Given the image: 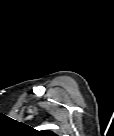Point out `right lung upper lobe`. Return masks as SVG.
<instances>
[{
  "mask_svg": "<svg viewBox=\"0 0 114 136\" xmlns=\"http://www.w3.org/2000/svg\"><path fill=\"white\" fill-rule=\"evenodd\" d=\"M46 133H47V134H52V132H50V131H46Z\"/></svg>",
  "mask_w": 114,
  "mask_h": 136,
  "instance_id": "right-lung-upper-lobe-1",
  "label": "right lung upper lobe"
}]
</instances>
